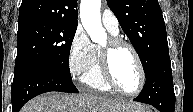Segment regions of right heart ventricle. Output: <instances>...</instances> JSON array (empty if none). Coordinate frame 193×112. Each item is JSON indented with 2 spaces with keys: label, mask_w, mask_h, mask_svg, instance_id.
I'll use <instances>...</instances> for the list:
<instances>
[{
  "label": "right heart ventricle",
  "mask_w": 193,
  "mask_h": 112,
  "mask_svg": "<svg viewBox=\"0 0 193 112\" xmlns=\"http://www.w3.org/2000/svg\"><path fill=\"white\" fill-rule=\"evenodd\" d=\"M112 34V33H111ZM116 35V34H112ZM82 81L85 85L93 90L101 92H110L111 87L106 83L101 73L100 59H99V47L93 46V57L91 64L82 76Z\"/></svg>",
  "instance_id": "right-heart-ventricle-1"
}]
</instances>
